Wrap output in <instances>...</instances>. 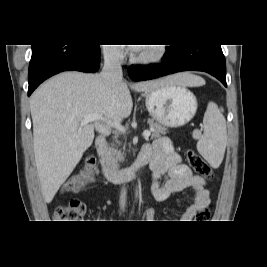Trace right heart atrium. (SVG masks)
Returning a JSON list of instances; mask_svg holds the SVG:
<instances>
[{"label":"right heart atrium","instance_id":"1","mask_svg":"<svg viewBox=\"0 0 267 267\" xmlns=\"http://www.w3.org/2000/svg\"><path fill=\"white\" fill-rule=\"evenodd\" d=\"M104 53L107 58L112 60L118 59L121 55L119 48L113 46H108L105 48Z\"/></svg>","mask_w":267,"mask_h":267}]
</instances>
